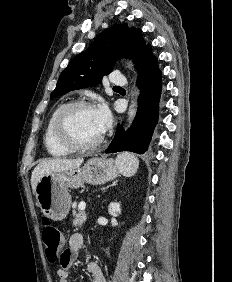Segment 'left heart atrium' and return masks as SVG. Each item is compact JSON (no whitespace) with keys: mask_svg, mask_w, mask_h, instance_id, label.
<instances>
[{"mask_svg":"<svg viewBox=\"0 0 232 282\" xmlns=\"http://www.w3.org/2000/svg\"><path fill=\"white\" fill-rule=\"evenodd\" d=\"M95 116L97 123L102 131L104 133L111 124V114L108 109V107L105 104L98 105L95 109Z\"/></svg>","mask_w":232,"mask_h":282,"instance_id":"left-heart-atrium-1","label":"left heart atrium"}]
</instances>
